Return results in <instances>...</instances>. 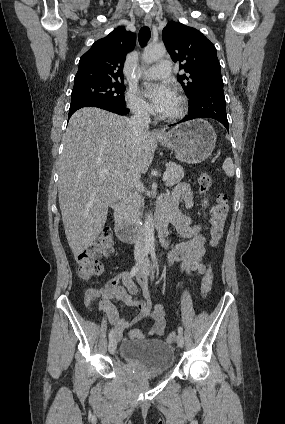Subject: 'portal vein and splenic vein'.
<instances>
[{"instance_id":"portal-vein-and-splenic-vein-1","label":"portal vein and splenic vein","mask_w":285,"mask_h":424,"mask_svg":"<svg viewBox=\"0 0 285 424\" xmlns=\"http://www.w3.org/2000/svg\"><path fill=\"white\" fill-rule=\"evenodd\" d=\"M109 173V170H103V171H101V173H100V175L101 176H106L107 174ZM167 178H168V169L165 171V173H164V175H163V181L165 182L166 180H167Z\"/></svg>"}]
</instances>
